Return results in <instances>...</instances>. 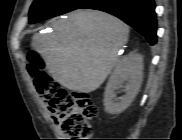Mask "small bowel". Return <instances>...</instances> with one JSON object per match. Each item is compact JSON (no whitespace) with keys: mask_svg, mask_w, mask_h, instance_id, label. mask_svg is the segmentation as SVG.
Masks as SVG:
<instances>
[{"mask_svg":"<svg viewBox=\"0 0 182 140\" xmlns=\"http://www.w3.org/2000/svg\"><path fill=\"white\" fill-rule=\"evenodd\" d=\"M50 115H51V117H52L53 119H56V116H55L54 112L51 111V110H50Z\"/></svg>","mask_w":182,"mask_h":140,"instance_id":"obj_1","label":"small bowel"}]
</instances>
